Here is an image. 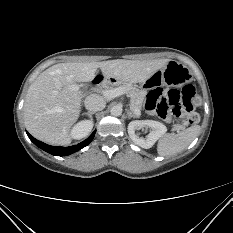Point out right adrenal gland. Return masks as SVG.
Returning <instances> with one entry per match:
<instances>
[{
    "mask_svg": "<svg viewBox=\"0 0 233 233\" xmlns=\"http://www.w3.org/2000/svg\"><path fill=\"white\" fill-rule=\"evenodd\" d=\"M93 114H95V112H85V113H83V115L89 116V118H90L91 120H93V118H92V115H93Z\"/></svg>",
    "mask_w": 233,
    "mask_h": 233,
    "instance_id": "right-adrenal-gland-1",
    "label": "right adrenal gland"
}]
</instances>
